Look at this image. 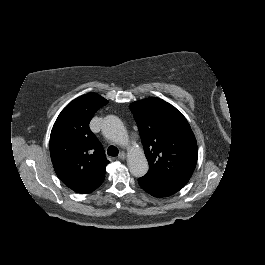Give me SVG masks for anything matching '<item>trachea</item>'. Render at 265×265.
<instances>
[{
	"mask_svg": "<svg viewBox=\"0 0 265 265\" xmlns=\"http://www.w3.org/2000/svg\"><path fill=\"white\" fill-rule=\"evenodd\" d=\"M107 154L109 156H117L119 154V150L117 149V147L115 146H109L108 149H107Z\"/></svg>",
	"mask_w": 265,
	"mask_h": 265,
	"instance_id": "1",
	"label": "trachea"
}]
</instances>
